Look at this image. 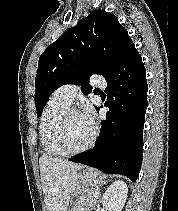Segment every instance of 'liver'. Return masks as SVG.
<instances>
[{"label": "liver", "instance_id": "6515ba94", "mask_svg": "<svg viewBox=\"0 0 178 211\" xmlns=\"http://www.w3.org/2000/svg\"><path fill=\"white\" fill-rule=\"evenodd\" d=\"M44 201L48 211H68L71 195L78 184L80 164L42 155L39 159Z\"/></svg>", "mask_w": 178, "mask_h": 211}]
</instances>
